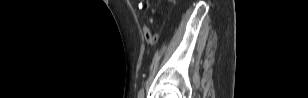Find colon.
I'll use <instances>...</instances> for the list:
<instances>
[{
	"mask_svg": "<svg viewBox=\"0 0 308 98\" xmlns=\"http://www.w3.org/2000/svg\"><path fill=\"white\" fill-rule=\"evenodd\" d=\"M145 37H146L147 41L151 42V43L155 42V40H156V35L153 34V33H149Z\"/></svg>",
	"mask_w": 308,
	"mask_h": 98,
	"instance_id": "obj_1",
	"label": "colon"
}]
</instances>
